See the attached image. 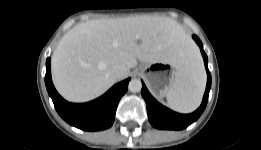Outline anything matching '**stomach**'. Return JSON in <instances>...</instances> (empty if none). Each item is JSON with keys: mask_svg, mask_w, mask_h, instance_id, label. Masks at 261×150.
Returning <instances> with one entry per match:
<instances>
[{"mask_svg": "<svg viewBox=\"0 0 261 150\" xmlns=\"http://www.w3.org/2000/svg\"><path fill=\"white\" fill-rule=\"evenodd\" d=\"M140 72L147 81L152 93L164 97L176 81L179 70L170 63H143Z\"/></svg>", "mask_w": 261, "mask_h": 150, "instance_id": "0dacf381", "label": "stomach"}]
</instances>
